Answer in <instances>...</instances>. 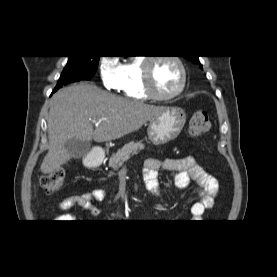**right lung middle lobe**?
Listing matches in <instances>:
<instances>
[{
	"instance_id": "obj_1",
	"label": "right lung middle lobe",
	"mask_w": 277,
	"mask_h": 277,
	"mask_svg": "<svg viewBox=\"0 0 277 277\" xmlns=\"http://www.w3.org/2000/svg\"><path fill=\"white\" fill-rule=\"evenodd\" d=\"M99 56L77 57L70 56L57 85H63L79 80H88L96 72ZM62 84V85H61Z\"/></svg>"
}]
</instances>
